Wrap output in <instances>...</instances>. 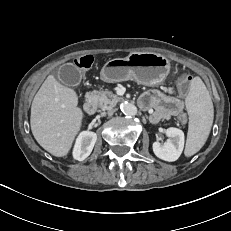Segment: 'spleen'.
Wrapping results in <instances>:
<instances>
[{"label":"spleen","instance_id":"spleen-1","mask_svg":"<svg viewBox=\"0 0 231 231\" xmlns=\"http://www.w3.org/2000/svg\"><path fill=\"white\" fill-rule=\"evenodd\" d=\"M186 108L189 115V126L185 155L192 156L205 144L214 117L213 103L210 94L199 77H195L186 97Z\"/></svg>","mask_w":231,"mask_h":231}]
</instances>
